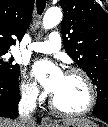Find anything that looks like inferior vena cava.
I'll use <instances>...</instances> for the list:
<instances>
[{"mask_svg": "<svg viewBox=\"0 0 108 127\" xmlns=\"http://www.w3.org/2000/svg\"><path fill=\"white\" fill-rule=\"evenodd\" d=\"M36 98V89H28L22 94L18 105L19 123L21 127H31L35 123L32 113L36 107Z\"/></svg>", "mask_w": 108, "mask_h": 127, "instance_id": "1", "label": "inferior vena cava"}]
</instances>
